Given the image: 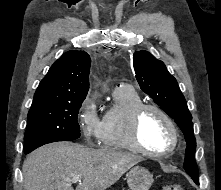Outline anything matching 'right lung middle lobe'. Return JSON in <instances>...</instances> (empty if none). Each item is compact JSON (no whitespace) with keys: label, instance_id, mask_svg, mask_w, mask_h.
<instances>
[{"label":"right lung middle lobe","instance_id":"obj_1","mask_svg":"<svg viewBox=\"0 0 221 190\" xmlns=\"http://www.w3.org/2000/svg\"><path fill=\"white\" fill-rule=\"evenodd\" d=\"M82 102L31 106L24 135L25 154L47 143L79 138L77 118Z\"/></svg>","mask_w":221,"mask_h":190}]
</instances>
